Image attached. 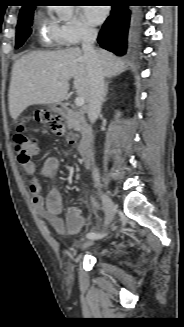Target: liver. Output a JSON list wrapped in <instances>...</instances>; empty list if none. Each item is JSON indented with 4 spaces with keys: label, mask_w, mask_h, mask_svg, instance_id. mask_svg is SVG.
Masks as SVG:
<instances>
[{
    "label": "liver",
    "mask_w": 184,
    "mask_h": 327,
    "mask_svg": "<svg viewBox=\"0 0 184 327\" xmlns=\"http://www.w3.org/2000/svg\"><path fill=\"white\" fill-rule=\"evenodd\" d=\"M96 53L104 77H113L124 71L123 59L102 49ZM72 78L76 93L89 103L90 77L84 54L78 47L59 51H34L22 56L15 61L12 69L10 116L16 120L31 105L62 102L67 96L69 80Z\"/></svg>",
    "instance_id": "obj_1"
}]
</instances>
